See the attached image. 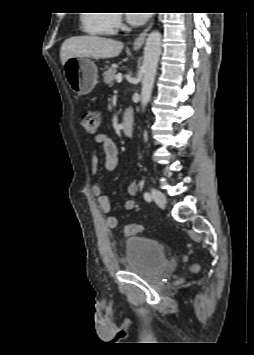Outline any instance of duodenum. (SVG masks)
<instances>
[{
  "label": "duodenum",
  "mask_w": 254,
  "mask_h": 355,
  "mask_svg": "<svg viewBox=\"0 0 254 355\" xmlns=\"http://www.w3.org/2000/svg\"><path fill=\"white\" fill-rule=\"evenodd\" d=\"M134 130L132 111L127 110L122 119V131L126 136H132Z\"/></svg>",
  "instance_id": "obj_1"
}]
</instances>
